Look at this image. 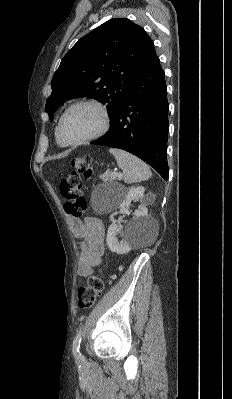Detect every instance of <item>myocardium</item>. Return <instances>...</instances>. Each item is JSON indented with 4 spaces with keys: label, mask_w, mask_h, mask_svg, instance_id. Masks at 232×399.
I'll return each mask as SVG.
<instances>
[{
    "label": "myocardium",
    "mask_w": 232,
    "mask_h": 399,
    "mask_svg": "<svg viewBox=\"0 0 232 399\" xmlns=\"http://www.w3.org/2000/svg\"><path fill=\"white\" fill-rule=\"evenodd\" d=\"M81 105H88V106H93V107L97 108L100 111V114L102 116V124H101L100 128L94 134H92L86 138L80 139V140H70L63 133V122H64L66 115L69 113V111L71 109H73L76 106H81ZM110 126H111V118H110L109 111L105 105H103L99 102H96V101H92V100H83V101H77L65 109V111L63 112V114L61 115V117L58 121L57 132H58L60 139L65 144L75 146V145H81V144H84V143H87V142H90V141H93V140H96V139L102 137L103 135H105L107 133Z\"/></svg>",
    "instance_id": "obj_1"
}]
</instances>
